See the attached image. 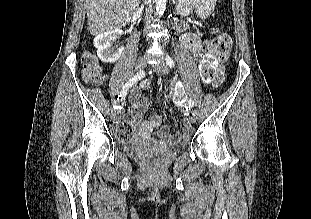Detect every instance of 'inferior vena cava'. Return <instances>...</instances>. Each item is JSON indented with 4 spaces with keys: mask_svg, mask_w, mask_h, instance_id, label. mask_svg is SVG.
<instances>
[{
    "mask_svg": "<svg viewBox=\"0 0 311 219\" xmlns=\"http://www.w3.org/2000/svg\"><path fill=\"white\" fill-rule=\"evenodd\" d=\"M151 17H152V9L149 7V8L146 10V15H145L146 23H149V22H150Z\"/></svg>",
    "mask_w": 311,
    "mask_h": 219,
    "instance_id": "obj_1",
    "label": "inferior vena cava"
}]
</instances>
